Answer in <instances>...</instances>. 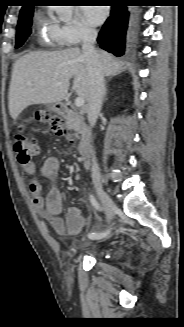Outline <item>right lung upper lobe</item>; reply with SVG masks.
Listing matches in <instances>:
<instances>
[{"instance_id": "obj_1", "label": "right lung upper lobe", "mask_w": 184, "mask_h": 327, "mask_svg": "<svg viewBox=\"0 0 184 327\" xmlns=\"http://www.w3.org/2000/svg\"><path fill=\"white\" fill-rule=\"evenodd\" d=\"M25 3H27L26 5H23L22 9L20 12H23V11H26L28 9H31V8H34L31 4H28V3H31L30 0H25Z\"/></svg>"}]
</instances>
